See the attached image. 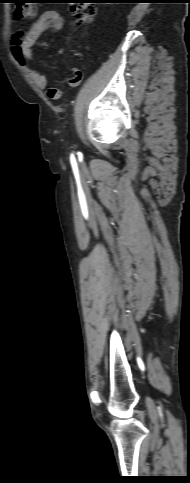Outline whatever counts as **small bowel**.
Listing matches in <instances>:
<instances>
[{
  "mask_svg": "<svg viewBox=\"0 0 190 483\" xmlns=\"http://www.w3.org/2000/svg\"><path fill=\"white\" fill-rule=\"evenodd\" d=\"M64 22L61 15L54 10L44 11L37 20H35L27 30H16L10 39V52L14 60L21 66L26 67L28 61L32 60V49L37 43L39 37L47 30L60 31ZM27 71L34 84L41 89H46L47 95L52 99H58L61 95V89L56 86H48V79L45 75L27 68ZM82 74L79 70L74 69L72 83L80 82Z\"/></svg>",
  "mask_w": 190,
  "mask_h": 483,
  "instance_id": "c3829d8e",
  "label": "small bowel"
}]
</instances>
